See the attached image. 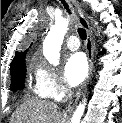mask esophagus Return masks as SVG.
I'll use <instances>...</instances> for the list:
<instances>
[{"instance_id":"34e87169","label":"esophagus","mask_w":122,"mask_h":123,"mask_svg":"<svg viewBox=\"0 0 122 123\" xmlns=\"http://www.w3.org/2000/svg\"><path fill=\"white\" fill-rule=\"evenodd\" d=\"M70 4L74 8L76 13L78 14L79 23L86 30V33H87L86 52H87V57H88V61H89V73H88V76H87L85 82L82 84L81 88L77 91L75 96L72 98V100L67 105V107H66L67 112H71L73 110L74 105L79 100L82 92L84 91V89L86 88L87 84L89 83V81L91 79L92 72H93V54H94V47H95L91 27H90L86 17L84 16L81 6L79 5V3L76 0H71Z\"/></svg>"}]
</instances>
